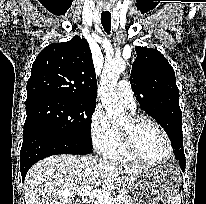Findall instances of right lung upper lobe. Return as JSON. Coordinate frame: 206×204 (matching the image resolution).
I'll return each instance as SVG.
<instances>
[{
  "instance_id": "1",
  "label": "right lung upper lobe",
  "mask_w": 206,
  "mask_h": 204,
  "mask_svg": "<svg viewBox=\"0 0 206 204\" xmlns=\"http://www.w3.org/2000/svg\"><path fill=\"white\" fill-rule=\"evenodd\" d=\"M43 96L96 102L95 69L85 39L52 43L38 54L27 81V100Z\"/></svg>"
}]
</instances>
